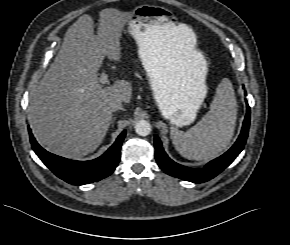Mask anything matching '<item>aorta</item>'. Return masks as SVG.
I'll use <instances>...</instances> for the list:
<instances>
[{
  "instance_id": "1",
  "label": "aorta",
  "mask_w": 290,
  "mask_h": 245,
  "mask_svg": "<svg viewBox=\"0 0 290 245\" xmlns=\"http://www.w3.org/2000/svg\"><path fill=\"white\" fill-rule=\"evenodd\" d=\"M135 132L139 136H147L151 133V124L146 120H139L135 124Z\"/></svg>"
}]
</instances>
